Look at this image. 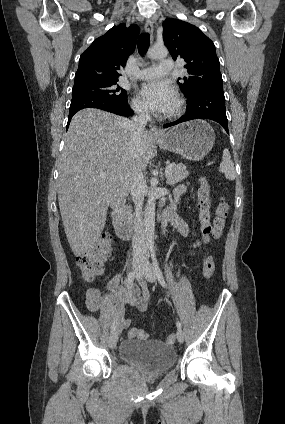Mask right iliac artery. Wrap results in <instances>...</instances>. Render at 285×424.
Instances as JSON below:
<instances>
[{
  "mask_svg": "<svg viewBox=\"0 0 285 424\" xmlns=\"http://www.w3.org/2000/svg\"><path fill=\"white\" fill-rule=\"evenodd\" d=\"M134 278H135V273H134V271H132L128 274V277L126 279V286H127L128 289L133 285ZM116 321L117 320H114V322L111 325V333H113L116 329V326H117Z\"/></svg>",
  "mask_w": 285,
  "mask_h": 424,
  "instance_id": "right-iliac-artery-1",
  "label": "right iliac artery"
}]
</instances>
